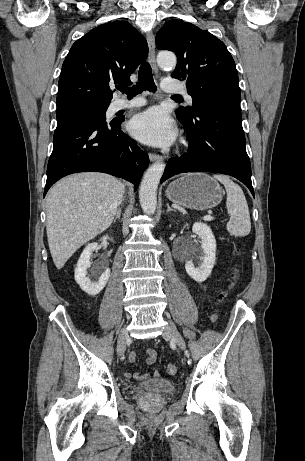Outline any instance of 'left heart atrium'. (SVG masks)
Returning a JSON list of instances; mask_svg holds the SVG:
<instances>
[{
  "label": "left heart atrium",
  "mask_w": 305,
  "mask_h": 461,
  "mask_svg": "<svg viewBox=\"0 0 305 461\" xmlns=\"http://www.w3.org/2000/svg\"><path fill=\"white\" fill-rule=\"evenodd\" d=\"M130 131L138 140L153 146L169 145L176 137L172 120L159 107L136 115L130 122Z\"/></svg>",
  "instance_id": "1"
}]
</instances>
